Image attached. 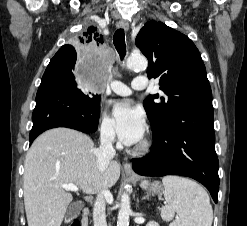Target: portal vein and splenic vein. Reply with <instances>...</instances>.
I'll return each mask as SVG.
<instances>
[{"mask_svg":"<svg viewBox=\"0 0 247 226\" xmlns=\"http://www.w3.org/2000/svg\"><path fill=\"white\" fill-rule=\"evenodd\" d=\"M61 187L63 189H65L66 191H73V192H77L79 191V188L77 187V185L70 183V184H63L61 185Z\"/></svg>","mask_w":247,"mask_h":226,"instance_id":"obj_1","label":"portal vein and splenic vein"}]
</instances>
